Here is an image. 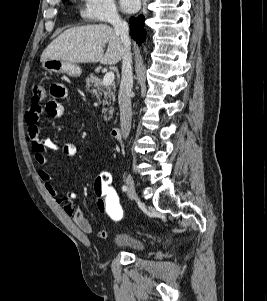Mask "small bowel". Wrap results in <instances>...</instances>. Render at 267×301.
<instances>
[{
	"mask_svg": "<svg viewBox=\"0 0 267 301\" xmlns=\"http://www.w3.org/2000/svg\"><path fill=\"white\" fill-rule=\"evenodd\" d=\"M68 98L67 87L62 83H54L50 87V100L43 108L39 103H32L25 115L28 136L31 141V148L34 153V160L38 164V176L42 181L47 192L56 199V202L62 206L63 211L72 218L75 225L84 234H93V227L89 220L85 217L83 211L75 207L76 194L68 192L65 196H60L57 188L54 186L51 177L45 169L47 150L61 151L66 157H74L77 148L73 143H65L59 147L51 139L44 137L39 130L38 123L43 112L51 118H61L65 115V109L62 100ZM98 210L104 214L100 203L96 200ZM97 236L106 239L109 236L107 230H100Z\"/></svg>",
	"mask_w": 267,
	"mask_h": 301,
	"instance_id": "1",
	"label": "small bowel"
}]
</instances>
